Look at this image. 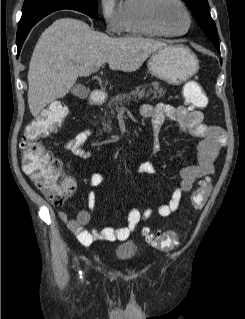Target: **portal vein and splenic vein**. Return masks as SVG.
I'll return each instance as SVG.
<instances>
[{
	"mask_svg": "<svg viewBox=\"0 0 245 319\" xmlns=\"http://www.w3.org/2000/svg\"><path fill=\"white\" fill-rule=\"evenodd\" d=\"M99 70V67L98 68H95L93 69L92 71L95 72V71H98Z\"/></svg>",
	"mask_w": 245,
	"mask_h": 319,
	"instance_id": "portal-vein-and-splenic-vein-1",
	"label": "portal vein and splenic vein"
}]
</instances>
